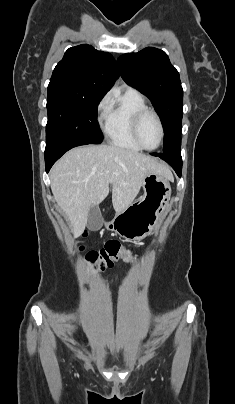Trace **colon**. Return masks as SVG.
<instances>
[{
  "label": "colon",
  "mask_w": 235,
  "mask_h": 404,
  "mask_svg": "<svg viewBox=\"0 0 235 404\" xmlns=\"http://www.w3.org/2000/svg\"><path fill=\"white\" fill-rule=\"evenodd\" d=\"M80 250L82 251L83 247H80ZM119 259L133 262L136 257L118 240L107 241L102 248L88 251L85 254V260L93 271L111 268Z\"/></svg>",
  "instance_id": "5ec220e1"
}]
</instances>
